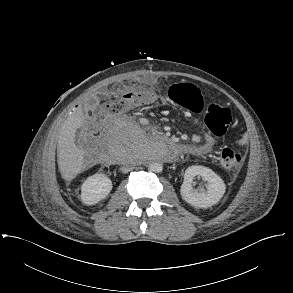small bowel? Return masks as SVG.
I'll use <instances>...</instances> for the list:
<instances>
[{"mask_svg":"<svg viewBox=\"0 0 293 293\" xmlns=\"http://www.w3.org/2000/svg\"><path fill=\"white\" fill-rule=\"evenodd\" d=\"M239 142L240 144H243L244 139L241 138ZM214 143V138L211 135L206 134L203 138L196 137L195 143L187 145L186 150L184 152L194 155L208 154L212 150Z\"/></svg>","mask_w":293,"mask_h":293,"instance_id":"obj_1","label":"small bowel"}]
</instances>
